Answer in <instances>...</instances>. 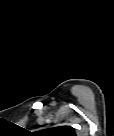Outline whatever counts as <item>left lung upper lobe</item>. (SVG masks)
Listing matches in <instances>:
<instances>
[{"label": "left lung upper lobe", "mask_w": 114, "mask_h": 136, "mask_svg": "<svg viewBox=\"0 0 114 136\" xmlns=\"http://www.w3.org/2000/svg\"><path fill=\"white\" fill-rule=\"evenodd\" d=\"M45 136H76L75 130L71 126H59L43 131Z\"/></svg>", "instance_id": "left-lung-upper-lobe-1"}]
</instances>
